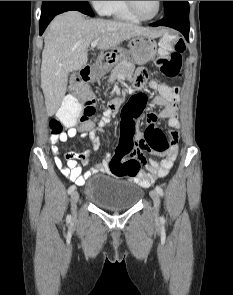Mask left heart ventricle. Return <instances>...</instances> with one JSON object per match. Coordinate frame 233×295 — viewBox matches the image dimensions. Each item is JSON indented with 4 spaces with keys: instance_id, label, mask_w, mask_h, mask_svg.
Instances as JSON below:
<instances>
[{
    "instance_id": "left-heart-ventricle-1",
    "label": "left heart ventricle",
    "mask_w": 233,
    "mask_h": 295,
    "mask_svg": "<svg viewBox=\"0 0 233 295\" xmlns=\"http://www.w3.org/2000/svg\"><path fill=\"white\" fill-rule=\"evenodd\" d=\"M138 13L143 17L152 16L157 10V1H134Z\"/></svg>"
}]
</instances>
